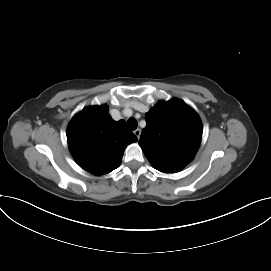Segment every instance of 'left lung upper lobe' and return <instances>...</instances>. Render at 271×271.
<instances>
[{
	"mask_svg": "<svg viewBox=\"0 0 271 271\" xmlns=\"http://www.w3.org/2000/svg\"><path fill=\"white\" fill-rule=\"evenodd\" d=\"M145 120L139 144L149 162L161 172L182 170L200 145L203 129L197 113L178 99L159 101Z\"/></svg>",
	"mask_w": 271,
	"mask_h": 271,
	"instance_id": "5c2ea615",
	"label": "left lung upper lobe"
}]
</instances>
